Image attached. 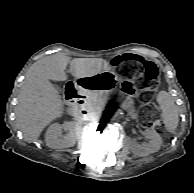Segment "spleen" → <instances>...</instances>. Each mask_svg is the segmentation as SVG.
Returning a JSON list of instances; mask_svg holds the SVG:
<instances>
[{"label": "spleen", "mask_w": 194, "mask_h": 193, "mask_svg": "<svg viewBox=\"0 0 194 193\" xmlns=\"http://www.w3.org/2000/svg\"><path fill=\"white\" fill-rule=\"evenodd\" d=\"M157 101L162 109V118L165 128L168 132L174 133L179 122V115L174 99L166 91L158 94Z\"/></svg>", "instance_id": "1"}]
</instances>
